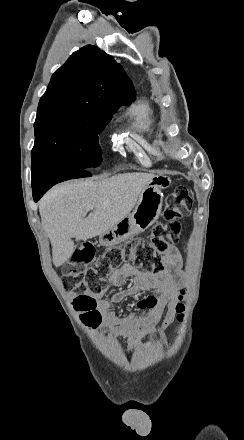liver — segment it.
Segmentation results:
<instances>
[{
  "label": "liver",
  "mask_w": 244,
  "mask_h": 440,
  "mask_svg": "<svg viewBox=\"0 0 244 440\" xmlns=\"http://www.w3.org/2000/svg\"><path fill=\"white\" fill-rule=\"evenodd\" d=\"M154 174H117L106 180H70L49 190L39 202L43 230L52 246V260L59 268L71 258V238L100 236L133 210L143 188ZM88 206L95 210L85 218Z\"/></svg>",
  "instance_id": "liver-1"
}]
</instances>
